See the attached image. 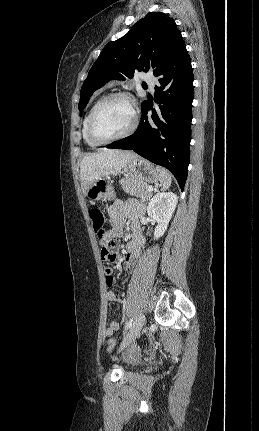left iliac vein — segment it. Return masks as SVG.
Masks as SVG:
<instances>
[{
	"instance_id": "1",
	"label": "left iliac vein",
	"mask_w": 259,
	"mask_h": 431,
	"mask_svg": "<svg viewBox=\"0 0 259 431\" xmlns=\"http://www.w3.org/2000/svg\"><path fill=\"white\" fill-rule=\"evenodd\" d=\"M144 321L145 316L143 314H140L131 326L126 336L124 337L119 349L120 351L129 346L137 338L144 325Z\"/></svg>"
}]
</instances>
